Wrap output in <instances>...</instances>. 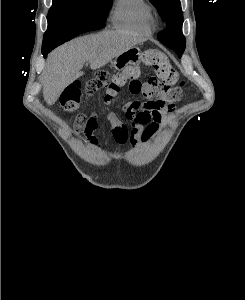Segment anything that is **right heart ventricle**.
Listing matches in <instances>:
<instances>
[{"label":"right heart ventricle","instance_id":"obj_1","mask_svg":"<svg viewBox=\"0 0 245 300\" xmlns=\"http://www.w3.org/2000/svg\"><path fill=\"white\" fill-rule=\"evenodd\" d=\"M111 22L118 30L150 34L155 26L151 7L145 0H117Z\"/></svg>","mask_w":245,"mask_h":300}]
</instances>
